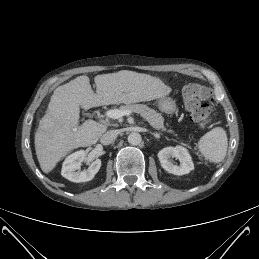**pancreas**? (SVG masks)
<instances>
[{"label": "pancreas", "mask_w": 259, "mask_h": 259, "mask_svg": "<svg viewBox=\"0 0 259 259\" xmlns=\"http://www.w3.org/2000/svg\"><path fill=\"white\" fill-rule=\"evenodd\" d=\"M120 110H128L131 112L139 113L144 119H146L149 124L156 130L167 131L173 133L172 130L164 126V118L157 111L149 108L147 105L143 104H128L120 106Z\"/></svg>", "instance_id": "obj_1"}]
</instances>
